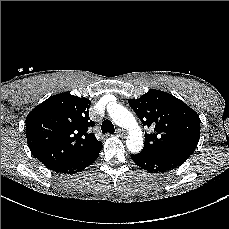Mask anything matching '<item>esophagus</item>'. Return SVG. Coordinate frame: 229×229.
Returning a JSON list of instances; mask_svg holds the SVG:
<instances>
[{
  "label": "esophagus",
  "instance_id": "34e87169",
  "mask_svg": "<svg viewBox=\"0 0 229 229\" xmlns=\"http://www.w3.org/2000/svg\"><path fill=\"white\" fill-rule=\"evenodd\" d=\"M116 134H117L118 136H124V135L126 134V132H125L123 129L118 128V129L116 130Z\"/></svg>",
  "mask_w": 229,
  "mask_h": 229
}]
</instances>
